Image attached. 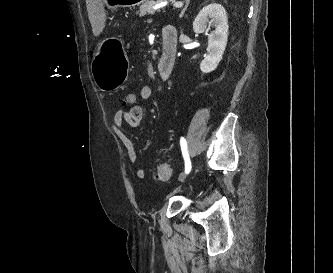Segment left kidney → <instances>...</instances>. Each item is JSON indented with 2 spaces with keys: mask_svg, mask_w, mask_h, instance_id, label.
I'll return each mask as SVG.
<instances>
[{
  "mask_svg": "<svg viewBox=\"0 0 333 273\" xmlns=\"http://www.w3.org/2000/svg\"><path fill=\"white\" fill-rule=\"evenodd\" d=\"M207 23H212L215 30L208 34ZM228 17L224 7L217 3H211L199 12L193 22L195 33L208 35L207 55L200 64L203 73L214 71L224 54L228 39Z\"/></svg>",
  "mask_w": 333,
  "mask_h": 273,
  "instance_id": "left-kidney-1",
  "label": "left kidney"
}]
</instances>
